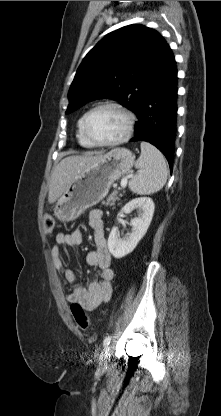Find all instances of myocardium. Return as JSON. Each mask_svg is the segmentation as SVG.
<instances>
[{"instance_id": "f54148a6", "label": "myocardium", "mask_w": 221, "mask_h": 416, "mask_svg": "<svg viewBox=\"0 0 221 416\" xmlns=\"http://www.w3.org/2000/svg\"><path fill=\"white\" fill-rule=\"evenodd\" d=\"M106 107H111V108L117 109L119 112H121L124 115L125 119H126V126H125L124 132L118 138H115V139L109 140V141H98V140H95L94 138H92L91 135L89 134V132L87 130V123H88L89 117L95 111H97L101 108H106ZM134 124H135V116L132 113V111H130L123 104L110 100V101H104V102H101V103L95 105L94 107H92L90 110H88L85 113V115L82 118V122H81V130H82V133L85 136V138L92 145L107 147V146L119 145V144L125 142L126 140H128L130 138V136L132 135V132H133V129H134Z\"/></svg>"}]
</instances>
